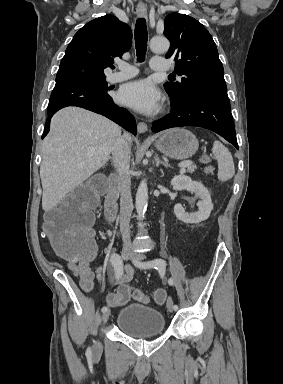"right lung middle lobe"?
<instances>
[{"label":"right lung middle lobe","instance_id":"right-lung-middle-lobe-1","mask_svg":"<svg viewBox=\"0 0 283 384\" xmlns=\"http://www.w3.org/2000/svg\"><path fill=\"white\" fill-rule=\"evenodd\" d=\"M111 90L106 81H96L54 88L48 108L66 107L72 104L99 99H107Z\"/></svg>","mask_w":283,"mask_h":384}]
</instances>
